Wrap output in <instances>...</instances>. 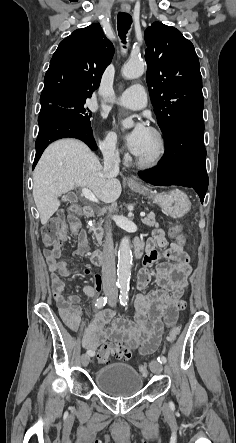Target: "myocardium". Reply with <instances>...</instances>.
<instances>
[{"mask_svg":"<svg viewBox=\"0 0 236 443\" xmlns=\"http://www.w3.org/2000/svg\"><path fill=\"white\" fill-rule=\"evenodd\" d=\"M148 130L155 136L158 144L157 152L151 157H140L135 154L136 164L145 169H152L159 166L167 155V142L163 133L155 128L149 127Z\"/></svg>","mask_w":236,"mask_h":443,"instance_id":"obj_1","label":"myocardium"}]
</instances>
